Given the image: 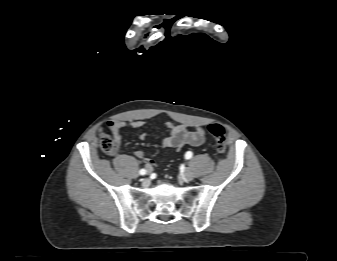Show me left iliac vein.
<instances>
[{
  "label": "left iliac vein",
  "instance_id": "left-iliac-vein-1",
  "mask_svg": "<svg viewBox=\"0 0 337 261\" xmlns=\"http://www.w3.org/2000/svg\"><path fill=\"white\" fill-rule=\"evenodd\" d=\"M183 178L186 180V181H191L193 180L194 176H193V173L192 171L187 168L184 173H183Z\"/></svg>",
  "mask_w": 337,
  "mask_h": 261
}]
</instances>
